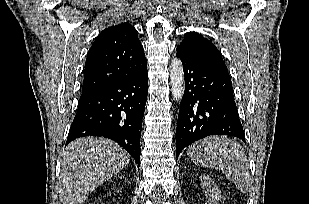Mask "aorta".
<instances>
[{
	"label": "aorta",
	"instance_id": "762f6f07",
	"mask_svg": "<svg viewBox=\"0 0 309 204\" xmlns=\"http://www.w3.org/2000/svg\"><path fill=\"white\" fill-rule=\"evenodd\" d=\"M170 80L173 97L178 102L184 95L185 80L182 63L177 58L171 62Z\"/></svg>",
	"mask_w": 309,
	"mask_h": 204
}]
</instances>
